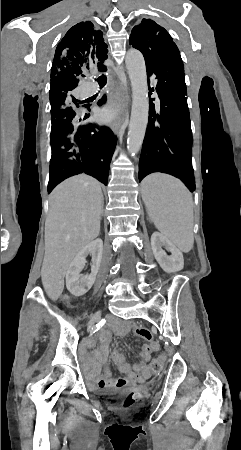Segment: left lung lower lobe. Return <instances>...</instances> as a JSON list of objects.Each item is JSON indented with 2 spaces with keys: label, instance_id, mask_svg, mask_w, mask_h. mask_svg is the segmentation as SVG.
<instances>
[{
  "label": "left lung lower lobe",
  "instance_id": "obj_1",
  "mask_svg": "<svg viewBox=\"0 0 241 450\" xmlns=\"http://www.w3.org/2000/svg\"><path fill=\"white\" fill-rule=\"evenodd\" d=\"M168 49L153 63H146L147 75L154 73L158 78L160 113L156 115L152 103L155 99H150L148 127L139 160V181L150 173L164 172L181 179L193 191L195 180L184 66L177 46L172 44Z\"/></svg>",
  "mask_w": 241,
  "mask_h": 450
}]
</instances>
